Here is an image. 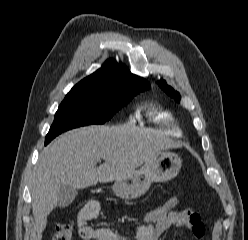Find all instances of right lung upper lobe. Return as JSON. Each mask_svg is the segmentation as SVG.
Wrapping results in <instances>:
<instances>
[{
  "instance_id": "right-lung-upper-lobe-1",
  "label": "right lung upper lobe",
  "mask_w": 248,
  "mask_h": 240,
  "mask_svg": "<svg viewBox=\"0 0 248 240\" xmlns=\"http://www.w3.org/2000/svg\"><path fill=\"white\" fill-rule=\"evenodd\" d=\"M133 80L148 83L145 79L132 74L123 64L107 60L102 68L84 78L71 90L114 88Z\"/></svg>"
}]
</instances>
